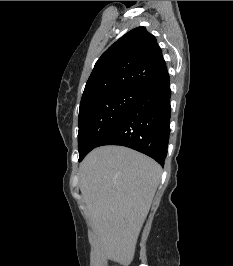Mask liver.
<instances>
[{
    "mask_svg": "<svg viewBox=\"0 0 233 266\" xmlns=\"http://www.w3.org/2000/svg\"><path fill=\"white\" fill-rule=\"evenodd\" d=\"M162 169L123 146L91 151L80 164L79 185L103 261L132 260Z\"/></svg>",
    "mask_w": 233,
    "mask_h": 266,
    "instance_id": "6515ba94",
    "label": "liver"
}]
</instances>
